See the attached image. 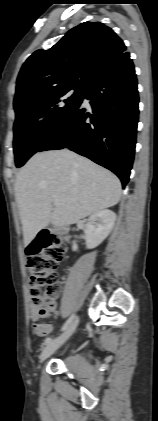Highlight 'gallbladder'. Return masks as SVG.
Segmentation results:
<instances>
[{
  "instance_id": "gallbladder-1",
  "label": "gallbladder",
  "mask_w": 158,
  "mask_h": 421,
  "mask_svg": "<svg viewBox=\"0 0 158 421\" xmlns=\"http://www.w3.org/2000/svg\"><path fill=\"white\" fill-rule=\"evenodd\" d=\"M50 228H51V230H52L54 233H56V234H62V233H63V231H62L61 229L56 228V227H54V226H50Z\"/></svg>"
}]
</instances>
